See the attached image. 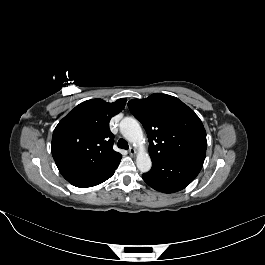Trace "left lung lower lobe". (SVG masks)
<instances>
[{"instance_id": "0a47b994", "label": "left lung lower lobe", "mask_w": 265, "mask_h": 265, "mask_svg": "<svg viewBox=\"0 0 265 265\" xmlns=\"http://www.w3.org/2000/svg\"><path fill=\"white\" fill-rule=\"evenodd\" d=\"M206 151L152 160V169L144 173V181L157 191L174 193L187 187L199 174Z\"/></svg>"}]
</instances>
